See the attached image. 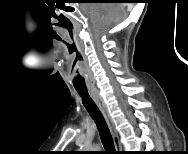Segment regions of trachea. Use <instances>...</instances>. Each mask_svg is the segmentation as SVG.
<instances>
[{
  "label": "trachea",
  "instance_id": "obj_1",
  "mask_svg": "<svg viewBox=\"0 0 188 154\" xmlns=\"http://www.w3.org/2000/svg\"><path fill=\"white\" fill-rule=\"evenodd\" d=\"M77 92L81 96L85 108L87 109L90 116L93 118V120L95 121L97 125L98 131L101 137V141L105 149L104 153L116 154L117 151L115 150V146H114V142H113L110 130L108 128V125L101 111L99 110V108L97 107L93 99L90 97L87 90L86 91L77 90Z\"/></svg>",
  "mask_w": 188,
  "mask_h": 154
}]
</instances>
